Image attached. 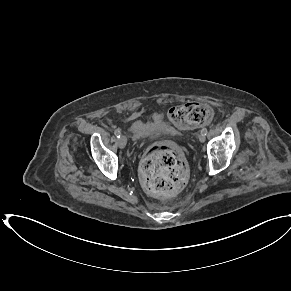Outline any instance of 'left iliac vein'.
<instances>
[{
  "label": "left iliac vein",
  "mask_w": 291,
  "mask_h": 291,
  "mask_svg": "<svg viewBox=\"0 0 291 291\" xmlns=\"http://www.w3.org/2000/svg\"><path fill=\"white\" fill-rule=\"evenodd\" d=\"M197 137H198L200 142H202V143L205 142L206 138H205V135L202 132H199Z\"/></svg>",
  "instance_id": "1"
}]
</instances>
